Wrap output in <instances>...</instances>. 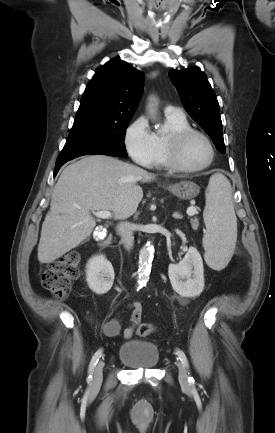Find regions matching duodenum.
<instances>
[{"mask_svg": "<svg viewBox=\"0 0 275 433\" xmlns=\"http://www.w3.org/2000/svg\"><path fill=\"white\" fill-rule=\"evenodd\" d=\"M97 240L99 241V246L101 248H106L109 242V239L105 236V234H99L97 237Z\"/></svg>", "mask_w": 275, "mask_h": 433, "instance_id": "1", "label": "duodenum"}]
</instances>
